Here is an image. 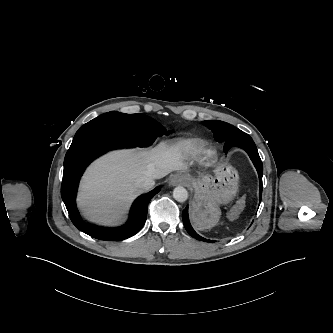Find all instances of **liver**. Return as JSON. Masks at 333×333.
Segmentation results:
<instances>
[{
	"mask_svg": "<svg viewBox=\"0 0 333 333\" xmlns=\"http://www.w3.org/2000/svg\"><path fill=\"white\" fill-rule=\"evenodd\" d=\"M187 169L181 150L167 142L150 149L114 151L89 167L77 201L87 220L116 225L123 220L132 200L143 192L136 186L138 179H160L173 171Z\"/></svg>",
	"mask_w": 333,
	"mask_h": 333,
	"instance_id": "6515ba94",
	"label": "liver"
}]
</instances>
